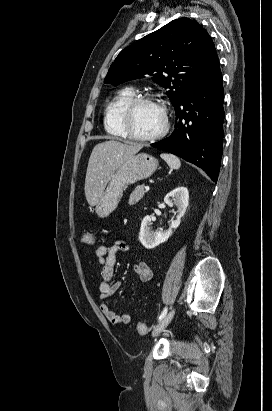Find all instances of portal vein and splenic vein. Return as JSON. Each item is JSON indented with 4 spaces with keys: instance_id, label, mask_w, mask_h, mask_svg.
<instances>
[{
    "instance_id": "18ae733b",
    "label": "portal vein and splenic vein",
    "mask_w": 272,
    "mask_h": 411,
    "mask_svg": "<svg viewBox=\"0 0 272 411\" xmlns=\"http://www.w3.org/2000/svg\"><path fill=\"white\" fill-rule=\"evenodd\" d=\"M145 190H146V191H149V190H150V187H149V186H145Z\"/></svg>"
}]
</instances>
